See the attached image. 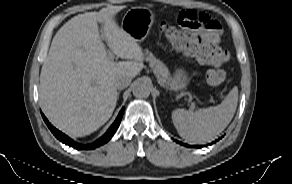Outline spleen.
<instances>
[{
  "instance_id": "3e777b00",
  "label": "spleen",
  "mask_w": 292,
  "mask_h": 184,
  "mask_svg": "<svg viewBox=\"0 0 292 184\" xmlns=\"http://www.w3.org/2000/svg\"><path fill=\"white\" fill-rule=\"evenodd\" d=\"M238 102V88L234 87L221 104L196 112L175 109L172 121L178 134L190 143L209 142L231 122Z\"/></svg>"
}]
</instances>
